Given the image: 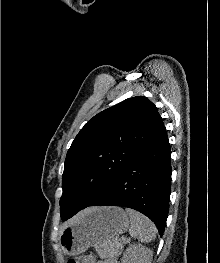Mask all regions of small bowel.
<instances>
[{
  "mask_svg": "<svg viewBox=\"0 0 220 263\" xmlns=\"http://www.w3.org/2000/svg\"><path fill=\"white\" fill-rule=\"evenodd\" d=\"M82 263H106V262H98L93 256H87ZM116 263V262H109Z\"/></svg>",
  "mask_w": 220,
  "mask_h": 263,
  "instance_id": "c3829d8e",
  "label": "small bowel"
}]
</instances>
